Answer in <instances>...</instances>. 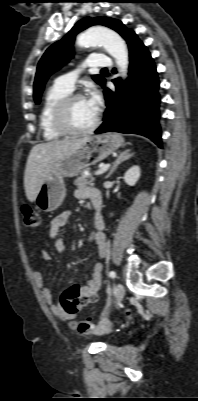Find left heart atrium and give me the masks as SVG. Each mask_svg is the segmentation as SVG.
I'll use <instances>...</instances> for the list:
<instances>
[{"label":"left heart atrium","mask_w":198,"mask_h":401,"mask_svg":"<svg viewBox=\"0 0 198 401\" xmlns=\"http://www.w3.org/2000/svg\"><path fill=\"white\" fill-rule=\"evenodd\" d=\"M88 100L94 109L98 111L102 101L100 94L96 90H92L88 96Z\"/></svg>","instance_id":"39dd6f15"}]
</instances>
